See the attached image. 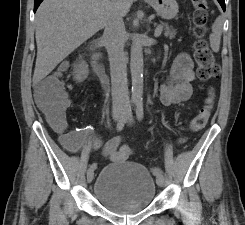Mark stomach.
<instances>
[{
  "instance_id": "obj_1",
  "label": "stomach",
  "mask_w": 245,
  "mask_h": 225,
  "mask_svg": "<svg viewBox=\"0 0 245 225\" xmlns=\"http://www.w3.org/2000/svg\"><path fill=\"white\" fill-rule=\"evenodd\" d=\"M156 11L157 15L163 19H173L178 13V3L176 0H145Z\"/></svg>"
}]
</instances>
